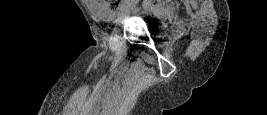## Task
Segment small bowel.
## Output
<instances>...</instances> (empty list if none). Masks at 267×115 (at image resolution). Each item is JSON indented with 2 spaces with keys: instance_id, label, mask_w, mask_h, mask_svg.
Instances as JSON below:
<instances>
[{
  "instance_id": "c3829d8e",
  "label": "small bowel",
  "mask_w": 267,
  "mask_h": 115,
  "mask_svg": "<svg viewBox=\"0 0 267 115\" xmlns=\"http://www.w3.org/2000/svg\"><path fill=\"white\" fill-rule=\"evenodd\" d=\"M87 5L91 9L94 15L102 19H108L111 17V11L100 1L86 0Z\"/></svg>"
}]
</instances>
